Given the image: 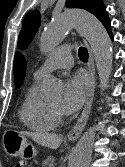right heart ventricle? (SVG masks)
Returning <instances> with one entry per match:
<instances>
[{
  "instance_id": "right-heart-ventricle-1",
  "label": "right heart ventricle",
  "mask_w": 125,
  "mask_h": 167,
  "mask_svg": "<svg viewBox=\"0 0 125 167\" xmlns=\"http://www.w3.org/2000/svg\"><path fill=\"white\" fill-rule=\"evenodd\" d=\"M39 80L34 78V82L28 88L19 108V118L26 128L46 133L55 129L56 119L50 112L47 102L38 95Z\"/></svg>"
}]
</instances>
